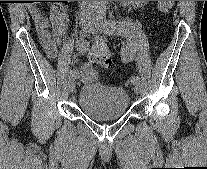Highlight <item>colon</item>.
I'll return each mask as SVG.
<instances>
[{"instance_id": "colon-1", "label": "colon", "mask_w": 207, "mask_h": 169, "mask_svg": "<svg viewBox=\"0 0 207 169\" xmlns=\"http://www.w3.org/2000/svg\"><path fill=\"white\" fill-rule=\"evenodd\" d=\"M174 1H159L161 11H168ZM90 61L93 65L101 68H108L111 65V55L106 43L102 39H98L89 54Z\"/></svg>"}]
</instances>
